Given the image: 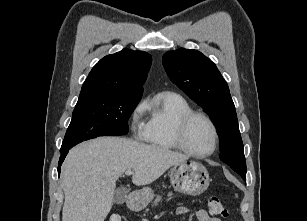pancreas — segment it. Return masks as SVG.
I'll list each match as a JSON object with an SVG mask.
<instances>
[{
    "label": "pancreas",
    "instance_id": "pancreas-1",
    "mask_svg": "<svg viewBox=\"0 0 307 221\" xmlns=\"http://www.w3.org/2000/svg\"><path fill=\"white\" fill-rule=\"evenodd\" d=\"M171 196H172V193H169V194H168V197L171 198ZM161 200H162V196L157 195V196L155 197V200H154L152 206L157 205L158 202H160Z\"/></svg>",
    "mask_w": 307,
    "mask_h": 221
}]
</instances>
